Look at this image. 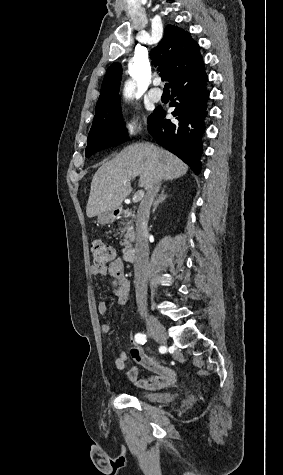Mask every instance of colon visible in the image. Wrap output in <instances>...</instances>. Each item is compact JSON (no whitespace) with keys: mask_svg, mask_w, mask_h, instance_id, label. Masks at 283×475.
Instances as JSON below:
<instances>
[{"mask_svg":"<svg viewBox=\"0 0 283 475\" xmlns=\"http://www.w3.org/2000/svg\"><path fill=\"white\" fill-rule=\"evenodd\" d=\"M91 254L98 265L112 264L115 259V250L101 241H96L90 246Z\"/></svg>","mask_w":283,"mask_h":475,"instance_id":"5ec220e1","label":"colon"}]
</instances>
